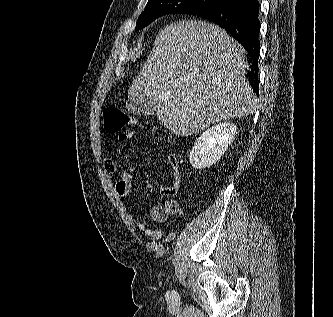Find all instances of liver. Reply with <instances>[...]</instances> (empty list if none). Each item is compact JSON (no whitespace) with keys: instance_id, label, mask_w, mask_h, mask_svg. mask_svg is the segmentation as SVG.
Instances as JSON below:
<instances>
[{"instance_id":"liver-1","label":"liver","mask_w":333,"mask_h":317,"mask_svg":"<svg viewBox=\"0 0 333 317\" xmlns=\"http://www.w3.org/2000/svg\"><path fill=\"white\" fill-rule=\"evenodd\" d=\"M244 53L216 25L176 21L159 32L128 98H155L160 123L182 137L250 115L258 106L245 77Z\"/></svg>"}]
</instances>
